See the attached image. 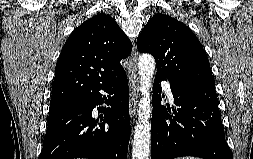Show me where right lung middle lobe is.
I'll use <instances>...</instances> for the list:
<instances>
[{
  "label": "right lung middle lobe",
  "instance_id": "1",
  "mask_svg": "<svg viewBox=\"0 0 253 159\" xmlns=\"http://www.w3.org/2000/svg\"><path fill=\"white\" fill-rule=\"evenodd\" d=\"M76 100H65L58 102H50V114L49 117L55 115L56 113L66 109L69 106H72Z\"/></svg>",
  "mask_w": 253,
  "mask_h": 159
}]
</instances>
